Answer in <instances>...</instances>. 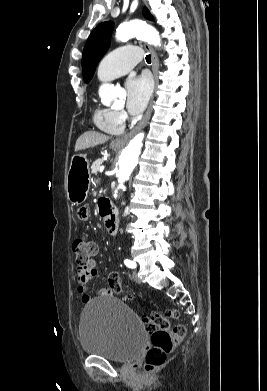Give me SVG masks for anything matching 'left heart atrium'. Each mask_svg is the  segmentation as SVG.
<instances>
[{
	"label": "left heart atrium",
	"mask_w": 267,
	"mask_h": 391,
	"mask_svg": "<svg viewBox=\"0 0 267 391\" xmlns=\"http://www.w3.org/2000/svg\"><path fill=\"white\" fill-rule=\"evenodd\" d=\"M127 109L133 114H140L146 107L152 86L148 77H131L126 82Z\"/></svg>",
	"instance_id": "left-heart-atrium-1"
}]
</instances>
